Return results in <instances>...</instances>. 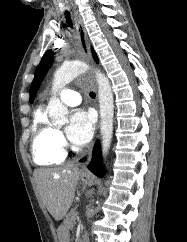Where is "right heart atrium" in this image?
<instances>
[{"instance_id": "obj_1", "label": "right heart atrium", "mask_w": 187, "mask_h": 242, "mask_svg": "<svg viewBox=\"0 0 187 242\" xmlns=\"http://www.w3.org/2000/svg\"><path fill=\"white\" fill-rule=\"evenodd\" d=\"M57 140L59 142L60 145H63L65 143V140L63 138V135L61 133L58 132L57 134Z\"/></svg>"}]
</instances>
